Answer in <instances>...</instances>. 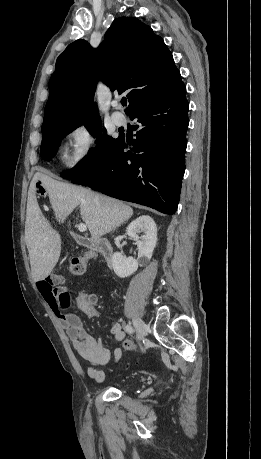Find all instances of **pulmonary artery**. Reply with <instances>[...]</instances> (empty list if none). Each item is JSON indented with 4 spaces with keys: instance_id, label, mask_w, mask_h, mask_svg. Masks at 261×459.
<instances>
[{
    "instance_id": "e3ab8cb5",
    "label": "pulmonary artery",
    "mask_w": 261,
    "mask_h": 459,
    "mask_svg": "<svg viewBox=\"0 0 261 459\" xmlns=\"http://www.w3.org/2000/svg\"><path fill=\"white\" fill-rule=\"evenodd\" d=\"M113 106L114 107L118 106V101L117 100H115L113 102ZM112 120L118 126H122V125H124L126 123V118H125L124 114L119 112V111H115V112L112 113Z\"/></svg>"
}]
</instances>
